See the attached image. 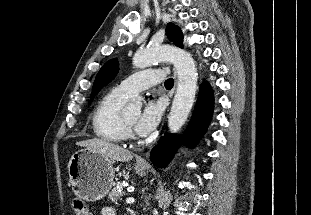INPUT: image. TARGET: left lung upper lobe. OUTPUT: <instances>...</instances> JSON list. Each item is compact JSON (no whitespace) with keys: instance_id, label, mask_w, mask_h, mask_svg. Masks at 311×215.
Returning <instances> with one entry per match:
<instances>
[{"instance_id":"5c2ea615","label":"left lung upper lobe","mask_w":311,"mask_h":215,"mask_svg":"<svg viewBox=\"0 0 311 215\" xmlns=\"http://www.w3.org/2000/svg\"><path fill=\"white\" fill-rule=\"evenodd\" d=\"M166 34L169 40L172 41L176 46L183 48V35L177 26L169 23L166 29ZM117 73L118 62L116 59L109 60L106 64L102 66L95 78V82L92 87L91 100L100 89H102L105 85H107L115 78Z\"/></svg>"}]
</instances>
